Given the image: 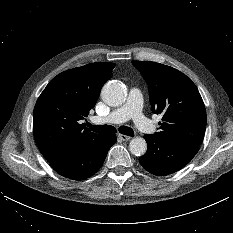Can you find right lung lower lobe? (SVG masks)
<instances>
[{"label": "right lung lower lobe", "instance_id": "obj_1", "mask_svg": "<svg viewBox=\"0 0 233 233\" xmlns=\"http://www.w3.org/2000/svg\"><path fill=\"white\" fill-rule=\"evenodd\" d=\"M115 142V135H102L72 155L49 163L60 175L73 180H83L101 168L108 150Z\"/></svg>", "mask_w": 233, "mask_h": 233}]
</instances>
